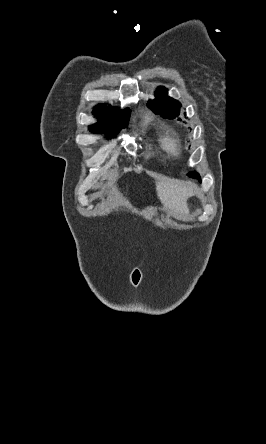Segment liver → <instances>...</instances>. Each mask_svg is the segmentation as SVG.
Returning <instances> with one entry per match:
<instances>
[{
  "mask_svg": "<svg viewBox=\"0 0 266 444\" xmlns=\"http://www.w3.org/2000/svg\"><path fill=\"white\" fill-rule=\"evenodd\" d=\"M157 195L164 207L173 213H187L186 201L193 194L186 182L163 179L156 182Z\"/></svg>",
  "mask_w": 266,
  "mask_h": 444,
  "instance_id": "1",
  "label": "liver"
}]
</instances>
